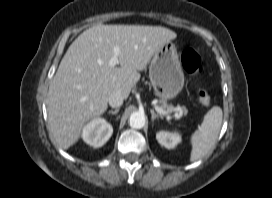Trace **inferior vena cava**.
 <instances>
[{
  "mask_svg": "<svg viewBox=\"0 0 272 198\" xmlns=\"http://www.w3.org/2000/svg\"><path fill=\"white\" fill-rule=\"evenodd\" d=\"M123 100V96L120 93L115 92L109 96L108 103L112 108H117L123 104Z\"/></svg>",
  "mask_w": 272,
  "mask_h": 198,
  "instance_id": "inferior-vena-cava-1",
  "label": "inferior vena cava"
}]
</instances>
